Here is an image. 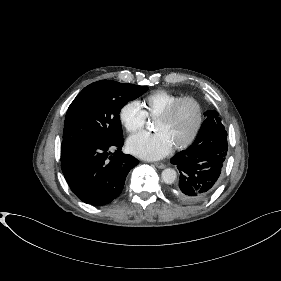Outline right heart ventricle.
<instances>
[{
    "label": "right heart ventricle",
    "mask_w": 281,
    "mask_h": 281,
    "mask_svg": "<svg viewBox=\"0 0 281 281\" xmlns=\"http://www.w3.org/2000/svg\"><path fill=\"white\" fill-rule=\"evenodd\" d=\"M181 96L165 90H156L147 94L140 102L145 115L149 118H155L171 103L179 99Z\"/></svg>",
    "instance_id": "obj_1"
}]
</instances>
